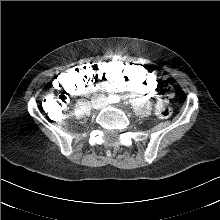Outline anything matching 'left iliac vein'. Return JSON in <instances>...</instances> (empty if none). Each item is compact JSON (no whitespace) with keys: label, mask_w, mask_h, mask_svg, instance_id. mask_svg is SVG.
Returning a JSON list of instances; mask_svg holds the SVG:
<instances>
[{"label":"left iliac vein","mask_w":220,"mask_h":220,"mask_svg":"<svg viewBox=\"0 0 220 220\" xmlns=\"http://www.w3.org/2000/svg\"><path fill=\"white\" fill-rule=\"evenodd\" d=\"M107 105H109V103H107V102H104V106H107Z\"/></svg>","instance_id":"4c4485c4"}]
</instances>
